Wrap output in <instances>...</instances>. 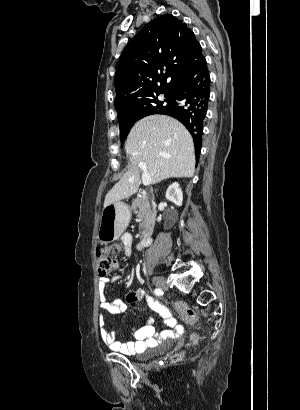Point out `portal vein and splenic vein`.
<instances>
[{"label":"portal vein and splenic vein","instance_id":"1","mask_svg":"<svg viewBox=\"0 0 300 410\" xmlns=\"http://www.w3.org/2000/svg\"><path fill=\"white\" fill-rule=\"evenodd\" d=\"M139 167L143 171V173H142V183H143V185L144 186H149L151 184V177H150V175L147 171L146 164L140 163Z\"/></svg>","mask_w":300,"mask_h":410}]
</instances>
